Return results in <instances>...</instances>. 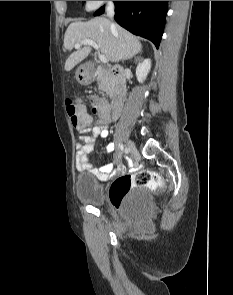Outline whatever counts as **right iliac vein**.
Masks as SVG:
<instances>
[{
  "label": "right iliac vein",
  "mask_w": 233,
  "mask_h": 295,
  "mask_svg": "<svg viewBox=\"0 0 233 295\" xmlns=\"http://www.w3.org/2000/svg\"><path fill=\"white\" fill-rule=\"evenodd\" d=\"M126 148H128V154L130 155V157L134 158L137 154L135 144L132 141H128Z\"/></svg>",
  "instance_id": "obj_1"
}]
</instances>
